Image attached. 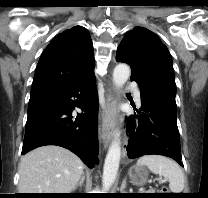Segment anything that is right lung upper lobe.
<instances>
[{
	"label": "right lung upper lobe",
	"instance_id": "cb5924a9",
	"mask_svg": "<svg viewBox=\"0 0 208 198\" xmlns=\"http://www.w3.org/2000/svg\"><path fill=\"white\" fill-rule=\"evenodd\" d=\"M93 44L88 32L74 26L49 43L38 62L30 100L65 91L94 73Z\"/></svg>",
	"mask_w": 208,
	"mask_h": 198
}]
</instances>
